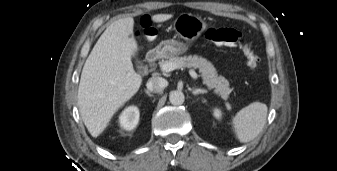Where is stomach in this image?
I'll list each match as a JSON object with an SVG mask.
<instances>
[{
  "mask_svg": "<svg viewBox=\"0 0 337 171\" xmlns=\"http://www.w3.org/2000/svg\"><path fill=\"white\" fill-rule=\"evenodd\" d=\"M206 26V22L196 15L180 14L174 21V30L186 43L173 39L165 40L158 45L157 49L165 57L181 55L188 50V43L196 40Z\"/></svg>",
  "mask_w": 337,
  "mask_h": 171,
  "instance_id": "obj_1",
  "label": "stomach"
}]
</instances>
